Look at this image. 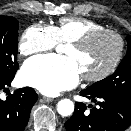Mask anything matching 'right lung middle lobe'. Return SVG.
Segmentation results:
<instances>
[{
  "instance_id": "right-lung-middle-lobe-1",
  "label": "right lung middle lobe",
  "mask_w": 131,
  "mask_h": 131,
  "mask_svg": "<svg viewBox=\"0 0 131 131\" xmlns=\"http://www.w3.org/2000/svg\"><path fill=\"white\" fill-rule=\"evenodd\" d=\"M18 21L11 16H0V81L15 76L19 65Z\"/></svg>"
}]
</instances>
